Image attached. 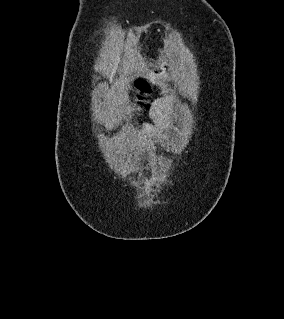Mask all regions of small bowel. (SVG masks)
<instances>
[{
    "mask_svg": "<svg viewBox=\"0 0 284 319\" xmlns=\"http://www.w3.org/2000/svg\"><path fill=\"white\" fill-rule=\"evenodd\" d=\"M166 101H157L150 111L151 122L143 125L142 133L139 135L141 147L146 148L150 142H164L170 135V122L165 113Z\"/></svg>",
    "mask_w": 284,
    "mask_h": 319,
    "instance_id": "obj_1",
    "label": "small bowel"
}]
</instances>
